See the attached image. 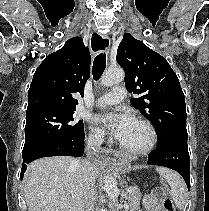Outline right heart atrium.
Segmentation results:
<instances>
[{
	"label": "right heart atrium",
	"mask_w": 209,
	"mask_h": 211,
	"mask_svg": "<svg viewBox=\"0 0 209 211\" xmlns=\"http://www.w3.org/2000/svg\"><path fill=\"white\" fill-rule=\"evenodd\" d=\"M104 135L97 129L89 128L88 141L90 144L99 145L104 141Z\"/></svg>",
	"instance_id": "d8ad5b80"
}]
</instances>
